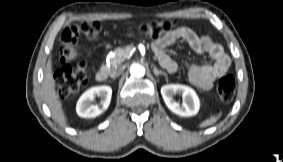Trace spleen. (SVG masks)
I'll list each match as a JSON object with an SVG mask.
<instances>
[{
	"instance_id": "obj_1",
	"label": "spleen",
	"mask_w": 283,
	"mask_h": 162,
	"mask_svg": "<svg viewBox=\"0 0 283 162\" xmlns=\"http://www.w3.org/2000/svg\"><path fill=\"white\" fill-rule=\"evenodd\" d=\"M220 114H218L217 116H212L208 119H206L205 121H203L202 123H200V127H207L210 126L212 124H214L219 118H220Z\"/></svg>"
}]
</instances>
